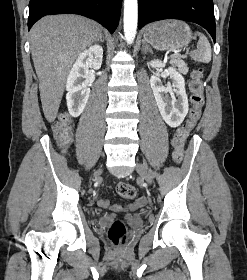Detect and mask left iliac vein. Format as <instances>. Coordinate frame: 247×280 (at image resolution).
Wrapping results in <instances>:
<instances>
[{"label": "left iliac vein", "instance_id": "left-iliac-vein-1", "mask_svg": "<svg viewBox=\"0 0 247 280\" xmlns=\"http://www.w3.org/2000/svg\"><path fill=\"white\" fill-rule=\"evenodd\" d=\"M137 172L147 183H152V176L145 165L138 163Z\"/></svg>", "mask_w": 247, "mask_h": 280}]
</instances>
